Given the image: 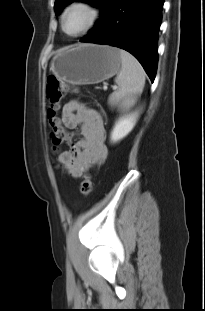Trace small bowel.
Here are the masks:
<instances>
[{"instance_id":"obj_1","label":"small bowel","mask_w":205,"mask_h":311,"mask_svg":"<svg viewBox=\"0 0 205 311\" xmlns=\"http://www.w3.org/2000/svg\"><path fill=\"white\" fill-rule=\"evenodd\" d=\"M62 122L70 130L67 133L70 148L59 154L58 161L72 177L78 178L107 157L104 120L100 112L73 99L63 107ZM75 130L79 139L73 142Z\"/></svg>"}]
</instances>
